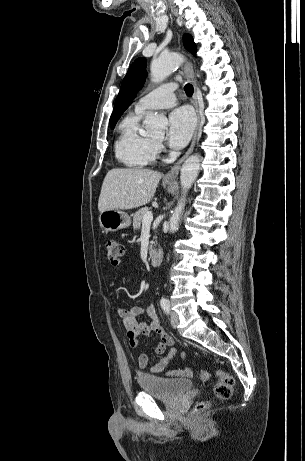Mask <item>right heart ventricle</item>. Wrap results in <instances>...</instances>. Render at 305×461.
<instances>
[{"label": "right heart ventricle", "mask_w": 305, "mask_h": 461, "mask_svg": "<svg viewBox=\"0 0 305 461\" xmlns=\"http://www.w3.org/2000/svg\"><path fill=\"white\" fill-rule=\"evenodd\" d=\"M141 112L128 113L119 125L115 142L116 157L127 167L142 168L150 165L156 156V144L140 124Z\"/></svg>", "instance_id": "obj_1"}]
</instances>
